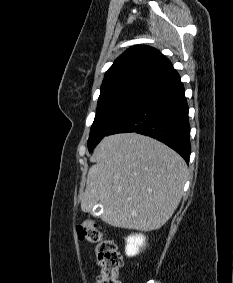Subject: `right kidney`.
I'll use <instances>...</instances> for the list:
<instances>
[{"label":"right kidney","mask_w":233,"mask_h":283,"mask_svg":"<svg viewBox=\"0 0 233 283\" xmlns=\"http://www.w3.org/2000/svg\"><path fill=\"white\" fill-rule=\"evenodd\" d=\"M125 252L127 256H135L139 253V248L145 244V237L142 234H133L126 238Z\"/></svg>","instance_id":"ca27d5eb"}]
</instances>
